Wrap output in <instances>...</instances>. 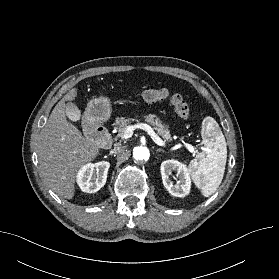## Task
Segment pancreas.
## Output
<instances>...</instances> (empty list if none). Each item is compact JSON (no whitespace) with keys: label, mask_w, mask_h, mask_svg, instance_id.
<instances>
[{"label":"pancreas","mask_w":279,"mask_h":279,"mask_svg":"<svg viewBox=\"0 0 279 279\" xmlns=\"http://www.w3.org/2000/svg\"><path fill=\"white\" fill-rule=\"evenodd\" d=\"M144 120L153 126V128L157 131V133L167 142L172 141V137L170 135V130L167 125L163 124V122L156 117L155 115L149 114L143 116ZM134 119L131 118H116L115 123L113 124L115 127V130L118 132V137H121L124 130L127 126L133 122Z\"/></svg>","instance_id":"cf45deb5"}]
</instances>
